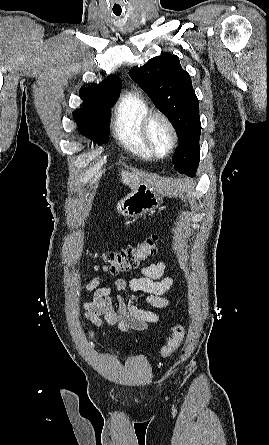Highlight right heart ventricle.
Instances as JSON below:
<instances>
[{
  "label": "right heart ventricle",
  "instance_id": "1",
  "mask_svg": "<svg viewBox=\"0 0 269 445\" xmlns=\"http://www.w3.org/2000/svg\"><path fill=\"white\" fill-rule=\"evenodd\" d=\"M150 111L143 97L135 92H128L118 102L113 116V132L116 139L127 150L143 159L154 157L141 135L142 121Z\"/></svg>",
  "mask_w": 269,
  "mask_h": 445
}]
</instances>
